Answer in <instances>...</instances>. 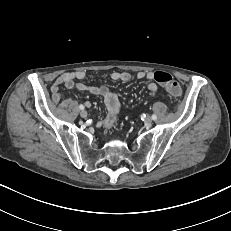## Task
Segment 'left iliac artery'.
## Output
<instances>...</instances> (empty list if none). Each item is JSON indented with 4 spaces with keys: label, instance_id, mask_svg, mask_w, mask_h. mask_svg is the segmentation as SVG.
<instances>
[{
    "label": "left iliac artery",
    "instance_id": "1",
    "mask_svg": "<svg viewBox=\"0 0 231 231\" xmlns=\"http://www.w3.org/2000/svg\"><path fill=\"white\" fill-rule=\"evenodd\" d=\"M152 119L153 120H156L157 119V116L155 114L152 115Z\"/></svg>",
    "mask_w": 231,
    "mask_h": 231
}]
</instances>
